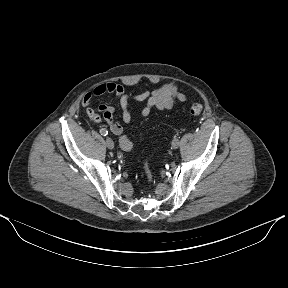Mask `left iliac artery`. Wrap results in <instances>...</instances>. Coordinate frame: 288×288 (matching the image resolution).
I'll return each instance as SVG.
<instances>
[{
    "mask_svg": "<svg viewBox=\"0 0 288 288\" xmlns=\"http://www.w3.org/2000/svg\"><path fill=\"white\" fill-rule=\"evenodd\" d=\"M183 136V133L181 131H178L177 133L173 134L174 140H179Z\"/></svg>",
    "mask_w": 288,
    "mask_h": 288,
    "instance_id": "obj_1",
    "label": "left iliac artery"
}]
</instances>
